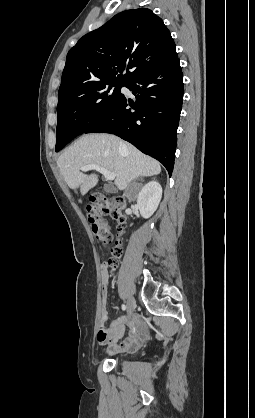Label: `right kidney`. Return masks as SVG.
<instances>
[{
  "label": "right kidney",
  "instance_id": "right-kidney-1",
  "mask_svg": "<svg viewBox=\"0 0 255 418\" xmlns=\"http://www.w3.org/2000/svg\"><path fill=\"white\" fill-rule=\"evenodd\" d=\"M162 198V187L157 181L147 183L140 191L137 198V207L143 218L153 215Z\"/></svg>",
  "mask_w": 255,
  "mask_h": 418
}]
</instances>
